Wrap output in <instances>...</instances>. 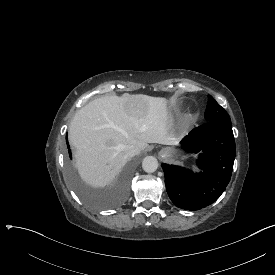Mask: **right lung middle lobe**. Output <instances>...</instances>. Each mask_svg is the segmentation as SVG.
<instances>
[{"mask_svg": "<svg viewBox=\"0 0 275 275\" xmlns=\"http://www.w3.org/2000/svg\"><path fill=\"white\" fill-rule=\"evenodd\" d=\"M63 152V163L62 169L65 177L71 182V187L76 191L77 195L82 198L86 203L88 208L92 210H98L99 208H112L126 200V192L129 190L131 183V175L139 169V161L144 160L148 156V151L146 149H141L139 152H134L132 154V160L130 161L127 168L123 169L121 172V179L114 188L110 191H98L92 192V187L90 184L85 183L82 185L81 180L78 178L77 174L74 172V153L73 145L71 142L67 141L62 145Z\"/></svg>", "mask_w": 275, "mask_h": 275, "instance_id": "right-lung-middle-lobe-1", "label": "right lung middle lobe"}]
</instances>
